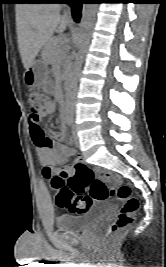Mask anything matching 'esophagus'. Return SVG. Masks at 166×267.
Listing matches in <instances>:
<instances>
[{"label": "esophagus", "instance_id": "1", "mask_svg": "<svg viewBox=\"0 0 166 267\" xmlns=\"http://www.w3.org/2000/svg\"><path fill=\"white\" fill-rule=\"evenodd\" d=\"M66 11L67 13H70V7L68 5L66 6Z\"/></svg>", "mask_w": 166, "mask_h": 267}]
</instances>
